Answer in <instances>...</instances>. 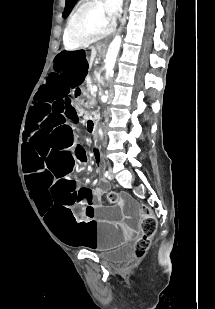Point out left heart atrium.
Instances as JSON below:
<instances>
[{
    "instance_id": "1",
    "label": "left heart atrium",
    "mask_w": 215,
    "mask_h": 309,
    "mask_svg": "<svg viewBox=\"0 0 215 309\" xmlns=\"http://www.w3.org/2000/svg\"><path fill=\"white\" fill-rule=\"evenodd\" d=\"M106 7L105 15L108 20H114L118 12L122 10L121 5H119V0H106Z\"/></svg>"
}]
</instances>
